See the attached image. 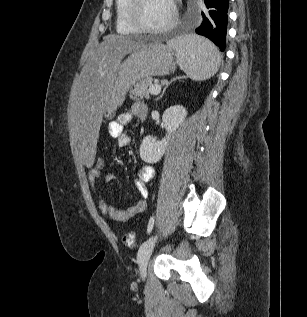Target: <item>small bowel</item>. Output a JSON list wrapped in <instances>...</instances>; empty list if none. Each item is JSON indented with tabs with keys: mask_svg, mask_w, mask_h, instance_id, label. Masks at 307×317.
I'll return each instance as SVG.
<instances>
[{
	"mask_svg": "<svg viewBox=\"0 0 307 317\" xmlns=\"http://www.w3.org/2000/svg\"><path fill=\"white\" fill-rule=\"evenodd\" d=\"M146 116V106L141 103H134L129 112L120 114L116 120L109 123L108 132L111 137L117 139L120 147H126L130 143V136L124 132V127L130 124L133 118L143 120ZM154 175L155 171L152 166L145 165L140 169L139 175L134 181L135 187L140 195V199L126 209H118L114 207L99 195V181L101 179L105 182L113 181L116 178L114 173L108 172L105 175H102L101 171L93 168L90 170L88 178L93 191L98 195V208L101 214L108 216L114 221L125 222L146 209L147 184L153 179Z\"/></svg>",
	"mask_w": 307,
	"mask_h": 317,
	"instance_id": "1",
	"label": "small bowel"
}]
</instances>
